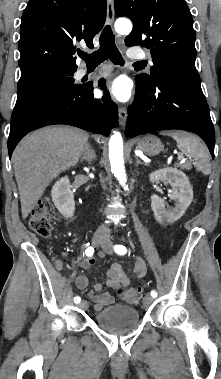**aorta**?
<instances>
[{
  "mask_svg": "<svg viewBox=\"0 0 221 379\" xmlns=\"http://www.w3.org/2000/svg\"><path fill=\"white\" fill-rule=\"evenodd\" d=\"M115 30L119 34H129L132 30V23L128 19H118L115 22ZM109 160L111 170L119 183L127 189L126 172L123 159V139L118 131H114L109 140Z\"/></svg>",
  "mask_w": 221,
  "mask_h": 379,
  "instance_id": "1",
  "label": "aorta"
}]
</instances>
